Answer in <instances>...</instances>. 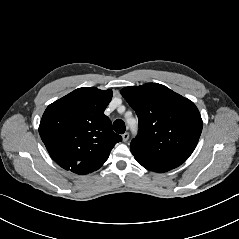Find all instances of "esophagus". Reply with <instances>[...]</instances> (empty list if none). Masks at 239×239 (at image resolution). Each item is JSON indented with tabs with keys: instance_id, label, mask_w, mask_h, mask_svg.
I'll return each mask as SVG.
<instances>
[{
	"instance_id": "34e87169",
	"label": "esophagus",
	"mask_w": 239,
	"mask_h": 239,
	"mask_svg": "<svg viewBox=\"0 0 239 239\" xmlns=\"http://www.w3.org/2000/svg\"><path fill=\"white\" fill-rule=\"evenodd\" d=\"M122 139L124 142H126L128 139H129V133L128 132H125L123 135H122Z\"/></svg>"
}]
</instances>
